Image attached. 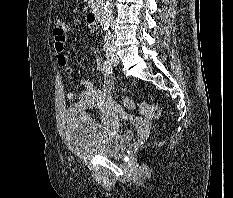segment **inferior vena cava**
Here are the masks:
<instances>
[{
  "label": "inferior vena cava",
  "instance_id": "inferior-vena-cava-1",
  "mask_svg": "<svg viewBox=\"0 0 233 198\" xmlns=\"http://www.w3.org/2000/svg\"><path fill=\"white\" fill-rule=\"evenodd\" d=\"M104 49L106 52L115 50L114 38L110 30L106 32V35L104 37Z\"/></svg>",
  "mask_w": 233,
  "mask_h": 198
}]
</instances>
